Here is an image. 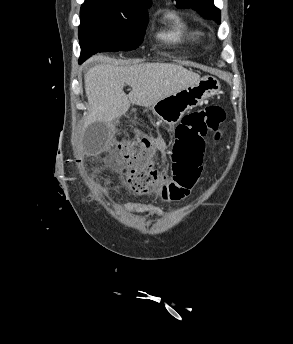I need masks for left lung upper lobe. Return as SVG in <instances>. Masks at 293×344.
I'll list each match as a JSON object with an SVG mask.
<instances>
[{
    "label": "left lung upper lobe",
    "mask_w": 293,
    "mask_h": 344,
    "mask_svg": "<svg viewBox=\"0 0 293 344\" xmlns=\"http://www.w3.org/2000/svg\"><path fill=\"white\" fill-rule=\"evenodd\" d=\"M176 2L178 8H192L203 17L214 19L220 24L221 12L214 6L213 0H176Z\"/></svg>",
    "instance_id": "left-lung-upper-lobe-1"
}]
</instances>
